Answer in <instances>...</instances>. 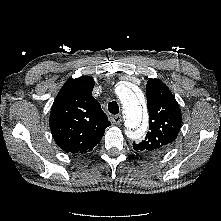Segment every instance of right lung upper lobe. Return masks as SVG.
Masks as SVG:
<instances>
[{"instance_id": "cb5924a9", "label": "right lung upper lobe", "mask_w": 221, "mask_h": 221, "mask_svg": "<svg viewBox=\"0 0 221 221\" xmlns=\"http://www.w3.org/2000/svg\"><path fill=\"white\" fill-rule=\"evenodd\" d=\"M94 80L70 78L51 108L49 124L55 142L66 153H86L102 139L111 125L99 102L92 96Z\"/></svg>"}]
</instances>
